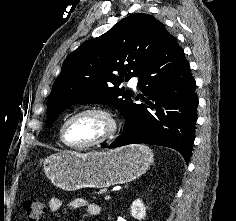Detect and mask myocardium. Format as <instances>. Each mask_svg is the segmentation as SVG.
Listing matches in <instances>:
<instances>
[{
    "mask_svg": "<svg viewBox=\"0 0 236 221\" xmlns=\"http://www.w3.org/2000/svg\"><path fill=\"white\" fill-rule=\"evenodd\" d=\"M100 114L102 116H104L110 125V129L109 132L102 138L95 140L91 143L88 144H84V145H74L71 144L67 141L66 139V135H65V130L67 125L75 118L81 116V115H85V114ZM119 128H120V124H119V120L117 118V116L108 108L106 107H102V106H91V107H86L84 109H81L75 113H73L72 115H70L61 125L60 128V139L63 142V144L65 146H67L70 149H75V150H86V149H91L94 147H98L101 145H104L110 141H112L113 139L116 138V136L118 135L119 132Z\"/></svg>",
    "mask_w": 236,
    "mask_h": 221,
    "instance_id": "myocardium-1",
    "label": "myocardium"
}]
</instances>
